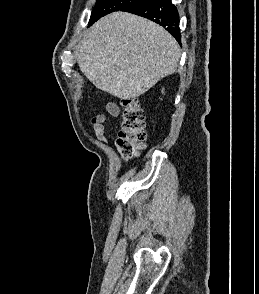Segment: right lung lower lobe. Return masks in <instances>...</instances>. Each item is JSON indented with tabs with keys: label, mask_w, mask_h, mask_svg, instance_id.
<instances>
[{
	"label": "right lung lower lobe",
	"mask_w": 259,
	"mask_h": 294,
	"mask_svg": "<svg viewBox=\"0 0 259 294\" xmlns=\"http://www.w3.org/2000/svg\"><path fill=\"white\" fill-rule=\"evenodd\" d=\"M121 11L130 12L160 24L180 43L179 15L171 0H138Z\"/></svg>",
	"instance_id": "1"
}]
</instances>
